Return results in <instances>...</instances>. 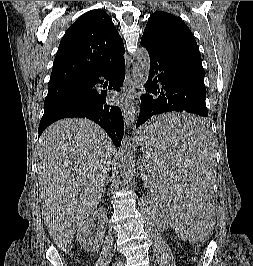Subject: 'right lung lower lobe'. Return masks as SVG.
Wrapping results in <instances>:
<instances>
[{"label":"right lung lower lobe","mask_w":253,"mask_h":266,"mask_svg":"<svg viewBox=\"0 0 253 266\" xmlns=\"http://www.w3.org/2000/svg\"><path fill=\"white\" fill-rule=\"evenodd\" d=\"M99 77L110 79L108 88L118 90L125 78V60L122 59L103 72L84 80L85 87L68 106L52 115L43 116L38 129L39 136L47 126L57 120L83 117L99 124L114 145L119 147L124 134L122 113L119 107L109 106L106 103V91L94 88L97 83H102Z\"/></svg>","instance_id":"right-lung-lower-lobe-1"}]
</instances>
